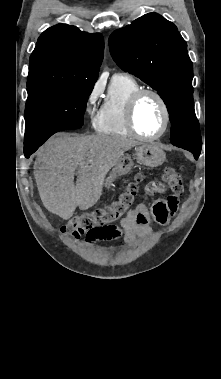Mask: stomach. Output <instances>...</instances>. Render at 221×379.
Listing matches in <instances>:
<instances>
[{
    "mask_svg": "<svg viewBox=\"0 0 221 379\" xmlns=\"http://www.w3.org/2000/svg\"><path fill=\"white\" fill-rule=\"evenodd\" d=\"M134 159L140 164L154 168L163 164L166 155L158 145L144 143L135 148ZM132 166L133 160L129 155L121 156L113 167L109 177L105 180V186L109 188L118 176L127 174Z\"/></svg>",
    "mask_w": 221,
    "mask_h": 379,
    "instance_id": "1",
    "label": "stomach"
}]
</instances>
